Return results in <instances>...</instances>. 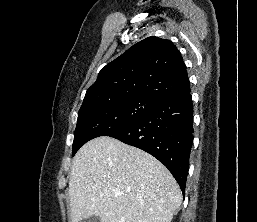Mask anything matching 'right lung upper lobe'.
I'll list each match as a JSON object with an SVG mask.
<instances>
[{"instance_id": "cb5924a9", "label": "right lung upper lobe", "mask_w": 257, "mask_h": 222, "mask_svg": "<svg viewBox=\"0 0 257 222\" xmlns=\"http://www.w3.org/2000/svg\"><path fill=\"white\" fill-rule=\"evenodd\" d=\"M190 90L186 65L172 41L148 37L99 72L83 103L93 99L146 97L162 102Z\"/></svg>"}]
</instances>
